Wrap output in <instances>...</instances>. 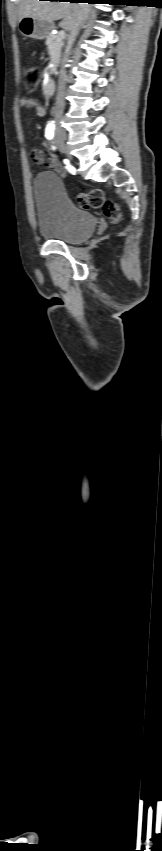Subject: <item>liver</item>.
Returning <instances> with one entry per match:
<instances>
[{"label":"liver","instance_id":"6515ba94","mask_svg":"<svg viewBox=\"0 0 162 851\" xmlns=\"http://www.w3.org/2000/svg\"><path fill=\"white\" fill-rule=\"evenodd\" d=\"M82 10H86L89 15L91 6L77 2L20 0L18 16L19 20L32 17L48 22L62 19L60 26L71 32L76 27Z\"/></svg>","mask_w":162,"mask_h":851}]
</instances>
